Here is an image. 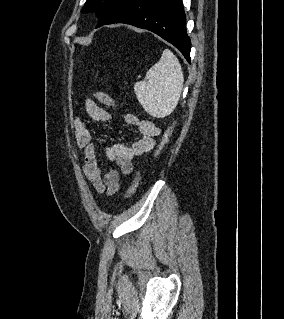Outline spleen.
I'll return each instance as SVG.
<instances>
[{
    "mask_svg": "<svg viewBox=\"0 0 284 319\" xmlns=\"http://www.w3.org/2000/svg\"><path fill=\"white\" fill-rule=\"evenodd\" d=\"M183 82L178 59L169 49H165L160 60L147 71L145 79L135 83L134 91L147 113L163 118L176 108Z\"/></svg>",
    "mask_w": 284,
    "mask_h": 319,
    "instance_id": "3e777b00",
    "label": "spleen"
}]
</instances>
